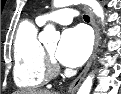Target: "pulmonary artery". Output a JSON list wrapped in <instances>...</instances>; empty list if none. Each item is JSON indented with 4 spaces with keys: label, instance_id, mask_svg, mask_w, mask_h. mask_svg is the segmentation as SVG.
Listing matches in <instances>:
<instances>
[{
    "label": "pulmonary artery",
    "instance_id": "obj_1",
    "mask_svg": "<svg viewBox=\"0 0 121 94\" xmlns=\"http://www.w3.org/2000/svg\"><path fill=\"white\" fill-rule=\"evenodd\" d=\"M75 17L77 14L73 9L63 8L40 16L39 22L44 24L48 21H55L62 25H68Z\"/></svg>",
    "mask_w": 121,
    "mask_h": 94
}]
</instances>
